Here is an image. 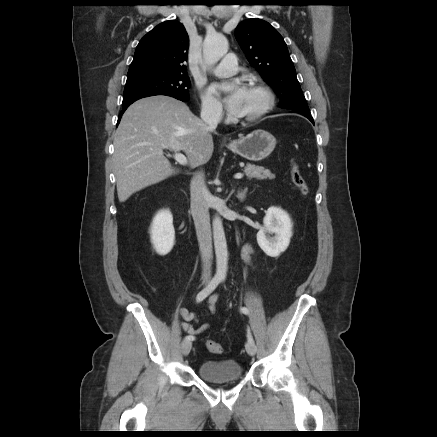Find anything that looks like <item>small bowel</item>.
Instances as JSON below:
<instances>
[{"label":"small bowel","instance_id":"c3829d8e","mask_svg":"<svg viewBox=\"0 0 437 437\" xmlns=\"http://www.w3.org/2000/svg\"><path fill=\"white\" fill-rule=\"evenodd\" d=\"M252 252H253L252 247L249 244H246L242 250L243 258L246 261H249ZM217 300H218L217 295H213L210 297L208 303V314L213 315L215 313ZM178 313L183 319V322L181 323L183 330L193 337L195 335L201 334L202 332L206 331L209 328V324H203L199 327H195L194 323H198L199 318L195 313L188 311L186 308H180L178 310Z\"/></svg>","mask_w":437,"mask_h":437}]
</instances>
